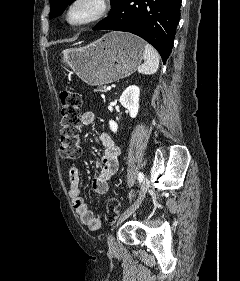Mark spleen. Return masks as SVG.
I'll use <instances>...</instances> for the list:
<instances>
[{
	"label": "spleen",
	"mask_w": 240,
	"mask_h": 281,
	"mask_svg": "<svg viewBox=\"0 0 240 281\" xmlns=\"http://www.w3.org/2000/svg\"><path fill=\"white\" fill-rule=\"evenodd\" d=\"M159 55L148 43L145 44L144 63L138 67V72L145 75L156 73L159 68Z\"/></svg>",
	"instance_id": "3e777b00"
}]
</instances>
